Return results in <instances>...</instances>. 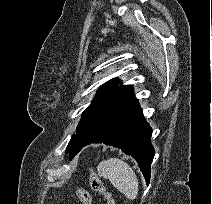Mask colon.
Here are the masks:
<instances>
[{
  "instance_id": "1",
  "label": "colon",
  "mask_w": 212,
  "mask_h": 204,
  "mask_svg": "<svg viewBox=\"0 0 212 204\" xmlns=\"http://www.w3.org/2000/svg\"><path fill=\"white\" fill-rule=\"evenodd\" d=\"M90 186L95 192L105 198L107 204H115L111 193L107 190L102 180L93 169L90 170ZM76 195L81 204H92V197L86 189L78 187L76 189Z\"/></svg>"
}]
</instances>
